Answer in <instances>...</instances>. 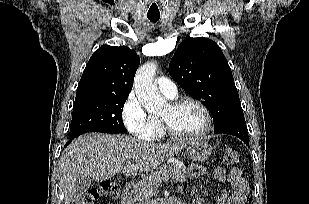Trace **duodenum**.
Masks as SVG:
<instances>
[{
	"instance_id": "duodenum-1",
	"label": "duodenum",
	"mask_w": 309,
	"mask_h": 204,
	"mask_svg": "<svg viewBox=\"0 0 309 204\" xmlns=\"http://www.w3.org/2000/svg\"><path fill=\"white\" fill-rule=\"evenodd\" d=\"M136 182L134 180L129 181L123 190L121 204H132L135 196Z\"/></svg>"
}]
</instances>
